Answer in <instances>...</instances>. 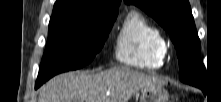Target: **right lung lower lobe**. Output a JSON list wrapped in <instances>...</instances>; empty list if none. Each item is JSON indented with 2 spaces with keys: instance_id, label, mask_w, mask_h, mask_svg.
<instances>
[{
  "instance_id": "1",
  "label": "right lung lower lobe",
  "mask_w": 221,
  "mask_h": 102,
  "mask_svg": "<svg viewBox=\"0 0 221 102\" xmlns=\"http://www.w3.org/2000/svg\"><path fill=\"white\" fill-rule=\"evenodd\" d=\"M42 84H43V83L37 81V82H36V85H35V88L40 87Z\"/></svg>"
}]
</instances>
